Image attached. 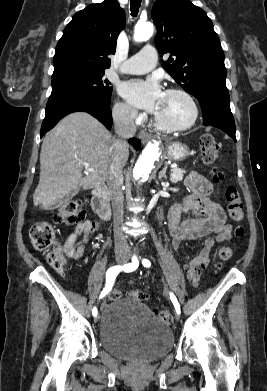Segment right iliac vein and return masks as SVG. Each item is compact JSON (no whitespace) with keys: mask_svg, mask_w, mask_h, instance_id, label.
I'll return each instance as SVG.
<instances>
[{"mask_svg":"<svg viewBox=\"0 0 267 391\" xmlns=\"http://www.w3.org/2000/svg\"><path fill=\"white\" fill-rule=\"evenodd\" d=\"M116 260H117V263H118L119 265H123V264L126 263L127 257H126L125 255L120 254V255H118V256L116 257ZM99 319H100V315L98 314V315L95 316L94 321H95V322H98Z\"/></svg>","mask_w":267,"mask_h":391,"instance_id":"63e3f726","label":"right iliac vein"}]
</instances>
